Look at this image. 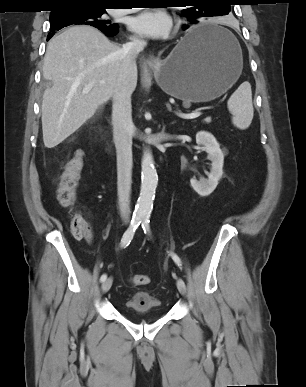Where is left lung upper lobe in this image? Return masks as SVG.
Wrapping results in <instances>:
<instances>
[{
	"mask_svg": "<svg viewBox=\"0 0 306 387\" xmlns=\"http://www.w3.org/2000/svg\"><path fill=\"white\" fill-rule=\"evenodd\" d=\"M190 4L182 11L190 24L204 22L213 16H223L230 12L228 0H183V4Z\"/></svg>",
	"mask_w": 306,
	"mask_h": 387,
	"instance_id": "obj_1",
	"label": "left lung upper lobe"
}]
</instances>
